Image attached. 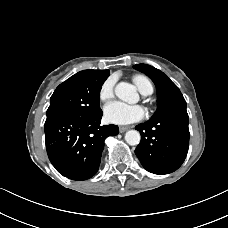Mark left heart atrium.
<instances>
[{
	"instance_id": "1",
	"label": "left heart atrium",
	"mask_w": 228,
	"mask_h": 228,
	"mask_svg": "<svg viewBox=\"0 0 228 228\" xmlns=\"http://www.w3.org/2000/svg\"><path fill=\"white\" fill-rule=\"evenodd\" d=\"M145 111L141 106L113 101L104 107V118L107 122L127 125L144 118Z\"/></svg>"
}]
</instances>
